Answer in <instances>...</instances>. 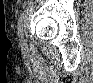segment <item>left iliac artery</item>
I'll return each instance as SVG.
<instances>
[{"label": "left iliac artery", "instance_id": "44dca946", "mask_svg": "<svg viewBox=\"0 0 93 83\" xmlns=\"http://www.w3.org/2000/svg\"><path fill=\"white\" fill-rule=\"evenodd\" d=\"M23 18H24V13L20 15L18 19V36L21 38V41L23 40Z\"/></svg>", "mask_w": 93, "mask_h": 83}]
</instances>
